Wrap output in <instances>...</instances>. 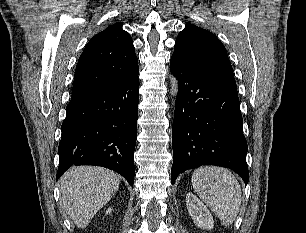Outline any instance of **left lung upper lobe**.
<instances>
[{"label": "left lung upper lobe", "mask_w": 306, "mask_h": 233, "mask_svg": "<svg viewBox=\"0 0 306 233\" xmlns=\"http://www.w3.org/2000/svg\"><path fill=\"white\" fill-rule=\"evenodd\" d=\"M172 56L192 69L234 80L224 45L214 34L195 25L187 23L179 33Z\"/></svg>", "instance_id": "obj_1"}]
</instances>
